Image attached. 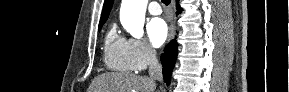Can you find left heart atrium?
Returning <instances> with one entry per match:
<instances>
[{
    "label": "left heart atrium",
    "instance_id": "39dd6f15",
    "mask_svg": "<svg viewBox=\"0 0 289 92\" xmlns=\"http://www.w3.org/2000/svg\"><path fill=\"white\" fill-rule=\"evenodd\" d=\"M147 33L151 44L158 48L167 40L169 29L163 19L153 18L147 25Z\"/></svg>",
    "mask_w": 289,
    "mask_h": 92
}]
</instances>
